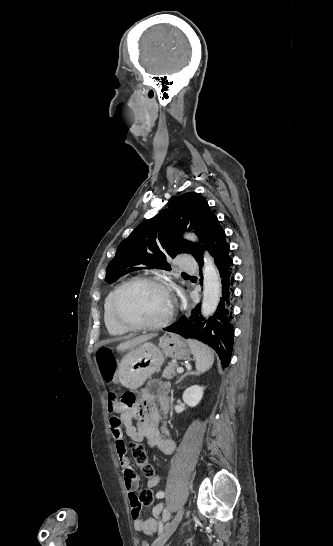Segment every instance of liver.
<instances>
[{
  "label": "liver",
  "mask_w": 333,
  "mask_h": 546,
  "mask_svg": "<svg viewBox=\"0 0 333 546\" xmlns=\"http://www.w3.org/2000/svg\"><path fill=\"white\" fill-rule=\"evenodd\" d=\"M153 337H155V335H142V336H139V337H135L131 340H128L124 343H121L117 346V351L119 352H122V351H126V350H132L134 349L136 346L140 345L141 343H144L150 339H152Z\"/></svg>",
  "instance_id": "6515ba94"
}]
</instances>
